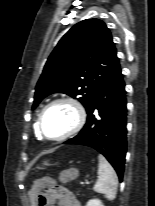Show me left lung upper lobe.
Here are the masks:
<instances>
[{
	"label": "left lung upper lobe",
	"mask_w": 155,
	"mask_h": 206,
	"mask_svg": "<svg viewBox=\"0 0 155 206\" xmlns=\"http://www.w3.org/2000/svg\"><path fill=\"white\" fill-rule=\"evenodd\" d=\"M112 36L99 19L75 24L49 56L36 85L33 109L52 93L77 98L88 109L105 81L118 68Z\"/></svg>",
	"instance_id": "obj_1"
}]
</instances>
